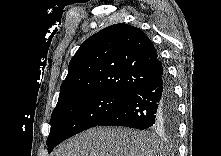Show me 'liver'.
Wrapping results in <instances>:
<instances>
[{
  "instance_id": "6515ba94",
  "label": "liver",
  "mask_w": 221,
  "mask_h": 156,
  "mask_svg": "<svg viewBox=\"0 0 221 156\" xmlns=\"http://www.w3.org/2000/svg\"><path fill=\"white\" fill-rule=\"evenodd\" d=\"M164 144L146 131L95 127L60 144L52 156H162Z\"/></svg>"
}]
</instances>
